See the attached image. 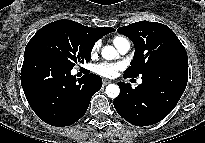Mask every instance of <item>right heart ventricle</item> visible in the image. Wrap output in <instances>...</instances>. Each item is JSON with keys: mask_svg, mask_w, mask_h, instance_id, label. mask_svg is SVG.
Instances as JSON below:
<instances>
[{"mask_svg": "<svg viewBox=\"0 0 205 143\" xmlns=\"http://www.w3.org/2000/svg\"><path fill=\"white\" fill-rule=\"evenodd\" d=\"M125 38L124 37H122V36H115L114 38H113V43H114V45L116 46L119 42H121L122 40H124Z\"/></svg>", "mask_w": 205, "mask_h": 143, "instance_id": "e07e8e85", "label": "right heart ventricle"}]
</instances>
